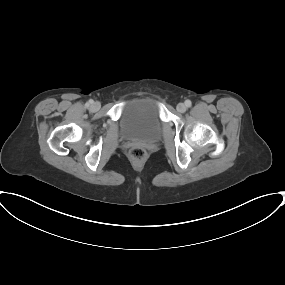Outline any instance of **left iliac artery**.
I'll return each instance as SVG.
<instances>
[{
  "mask_svg": "<svg viewBox=\"0 0 285 285\" xmlns=\"http://www.w3.org/2000/svg\"><path fill=\"white\" fill-rule=\"evenodd\" d=\"M185 105H186L187 107H191L192 103H191L190 100H186V101H185Z\"/></svg>",
  "mask_w": 285,
  "mask_h": 285,
  "instance_id": "1",
  "label": "left iliac artery"
}]
</instances>
